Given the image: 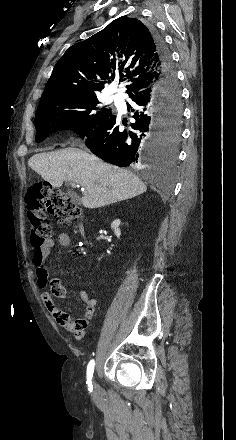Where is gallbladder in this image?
Returning a JSON list of instances; mask_svg holds the SVG:
<instances>
[{
    "instance_id": "1",
    "label": "gallbladder",
    "mask_w": 236,
    "mask_h": 440,
    "mask_svg": "<svg viewBox=\"0 0 236 440\" xmlns=\"http://www.w3.org/2000/svg\"><path fill=\"white\" fill-rule=\"evenodd\" d=\"M68 195H69L70 197H72L74 200H78V198L76 197V195H75L74 193H72V192H68Z\"/></svg>"
}]
</instances>
